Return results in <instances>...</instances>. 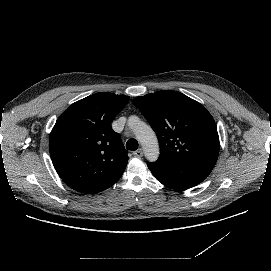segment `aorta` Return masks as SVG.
<instances>
[{
    "instance_id": "obj_1",
    "label": "aorta",
    "mask_w": 271,
    "mask_h": 271,
    "mask_svg": "<svg viewBox=\"0 0 271 271\" xmlns=\"http://www.w3.org/2000/svg\"><path fill=\"white\" fill-rule=\"evenodd\" d=\"M135 134L145 149V155L149 160H155L158 157V142L153 130L146 124L140 122L138 117L131 116L128 120Z\"/></svg>"
}]
</instances>
